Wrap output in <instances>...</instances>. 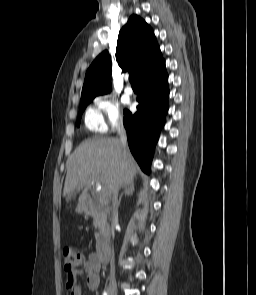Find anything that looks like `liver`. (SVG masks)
<instances>
[{"label":"liver","instance_id":"1","mask_svg":"<svg viewBox=\"0 0 256 295\" xmlns=\"http://www.w3.org/2000/svg\"><path fill=\"white\" fill-rule=\"evenodd\" d=\"M137 164L129 150L123 153L122 145L115 138H91L84 140L67 162V175L63 196L69 202L80 186H85L79 197L84 201L92 182L103 185L102 191L110 197L117 184H133Z\"/></svg>","mask_w":256,"mask_h":295}]
</instances>
